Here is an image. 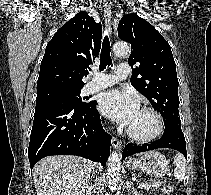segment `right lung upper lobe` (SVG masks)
<instances>
[{"label": "right lung upper lobe", "instance_id": "cb5924a9", "mask_svg": "<svg viewBox=\"0 0 211 195\" xmlns=\"http://www.w3.org/2000/svg\"><path fill=\"white\" fill-rule=\"evenodd\" d=\"M101 38V24L84 11L64 24L46 46L37 93L52 89H81L83 75L99 54Z\"/></svg>", "mask_w": 211, "mask_h": 195}]
</instances>
